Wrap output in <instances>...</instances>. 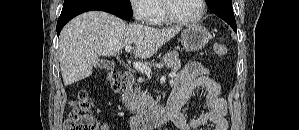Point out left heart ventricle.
<instances>
[{
	"label": "left heart ventricle",
	"mask_w": 299,
	"mask_h": 130,
	"mask_svg": "<svg viewBox=\"0 0 299 130\" xmlns=\"http://www.w3.org/2000/svg\"><path fill=\"white\" fill-rule=\"evenodd\" d=\"M169 10L176 17L191 18L199 12L198 0H172Z\"/></svg>",
	"instance_id": "left-heart-ventricle-1"
}]
</instances>
